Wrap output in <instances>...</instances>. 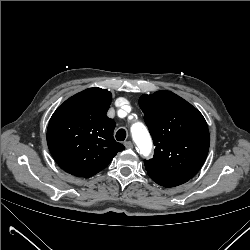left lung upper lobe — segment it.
Instances as JSON below:
<instances>
[{
	"instance_id": "left-lung-upper-lobe-1",
	"label": "left lung upper lobe",
	"mask_w": 250,
	"mask_h": 250,
	"mask_svg": "<svg viewBox=\"0 0 250 250\" xmlns=\"http://www.w3.org/2000/svg\"><path fill=\"white\" fill-rule=\"evenodd\" d=\"M139 105L152 136L155 152L145 160L150 177L191 179L203 165L210 135L202 114L170 91L142 95Z\"/></svg>"
}]
</instances>
